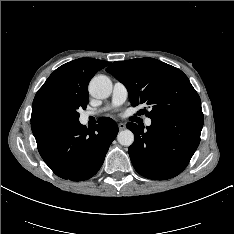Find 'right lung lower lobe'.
<instances>
[{
    "label": "right lung lower lobe",
    "instance_id": "98d812e1",
    "mask_svg": "<svg viewBox=\"0 0 234 234\" xmlns=\"http://www.w3.org/2000/svg\"><path fill=\"white\" fill-rule=\"evenodd\" d=\"M38 151L59 177L87 180L102 166L119 131L110 118L101 117L91 130L79 121L43 118L31 123Z\"/></svg>",
    "mask_w": 234,
    "mask_h": 234
}]
</instances>
